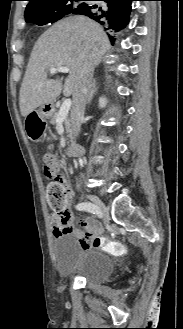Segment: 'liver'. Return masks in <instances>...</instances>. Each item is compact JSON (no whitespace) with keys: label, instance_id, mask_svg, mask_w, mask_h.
Returning <instances> with one entry per match:
<instances>
[{"label":"liver","instance_id":"liver-1","mask_svg":"<svg viewBox=\"0 0 183 329\" xmlns=\"http://www.w3.org/2000/svg\"><path fill=\"white\" fill-rule=\"evenodd\" d=\"M110 43L103 28L85 16L64 18L35 43L21 85L19 103L23 117L37 107L50 103L63 93L68 96L78 88L83 63L99 65ZM69 67L64 87L60 79H47L53 67Z\"/></svg>","mask_w":183,"mask_h":329}]
</instances>
